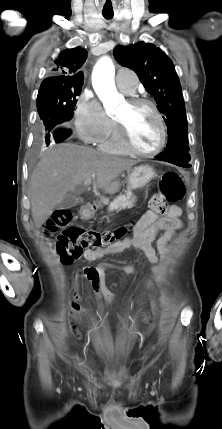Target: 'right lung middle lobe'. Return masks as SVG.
I'll return each instance as SVG.
<instances>
[{"label": "right lung middle lobe", "mask_w": 222, "mask_h": 429, "mask_svg": "<svg viewBox=\"0 0 222 429\" xmlns=\"http://www.w3.org/2000/svg\"><path fill=\"white\" fill-rule=\"evenodd\" d=\"M81 84H41L37 96V110L48 133L57 127L68 125L73 116Z\"/></svg>", "instance_id": "right-lung-middle-lobe-1"}]
</instances>
